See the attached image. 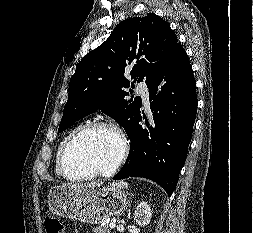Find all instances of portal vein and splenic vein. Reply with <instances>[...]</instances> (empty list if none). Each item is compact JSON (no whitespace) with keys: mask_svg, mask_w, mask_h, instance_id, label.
Returning a JSON list of instances; mask_svg holds the SVG:
<instances>
[{"mask_svg":"<svg viewBox=\"0 0 253 233\" xmlns=\"http://www.w3.org/2000/svg\"><path fill=\"white\" fill-rule=\"evenodd\" d=\"M115 226H116L115 223H110V224H109V227H110V228H115Z\"/></svg>","mask_w":253,"mask_h":233,"instance_id":"portal-vein-and-splenic-vein-1","label":"portal vein and splenic vein"}]
</instances>
